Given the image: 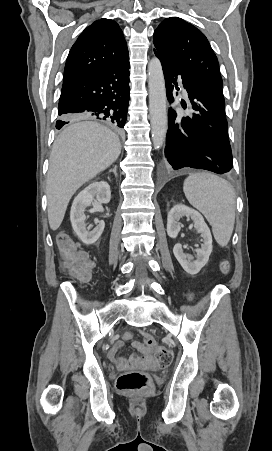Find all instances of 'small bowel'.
I'll use <instances>...</instances> for the list:
<instances>
[{"mask_svg":"<svg viewBox=\"0 0 272 451\" xmlns=\"http://www.w3.org/2000/svg\"><path fill=\"white\" fill-rule=\"evenodd\" d=\"M189 298L192 299L193 295L190 294ZM149 336H151V335L145 332L144 333V340H143V342H141V341L137 340L136 335L131 333V332H125L123 334L124 340L131 341L132 342V346L134 348H144V345L146 344L147 339H148ZM119 344H122L124 346V342H122V341H115V342H113L111 344V346H110V348L108 350V353H107L108 357H109L110 352H119V350L117 349V346Z\"/></svg>","mask_w":272,"mask_h":451,"instance_id":"small-bowel-1","label":"small bowel"}]
</instances>
